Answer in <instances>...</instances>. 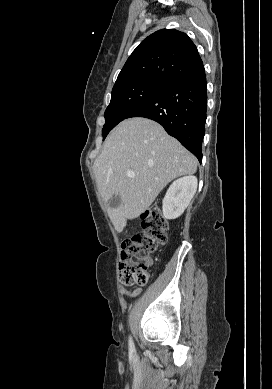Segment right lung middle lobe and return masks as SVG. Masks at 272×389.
I'll list each match as a JSON object with an SVG mask.
<instances>
[{"instance_id": "obj_1", "label": "right lung middle lobe", "mask_w": 272, "mask_h": 389, "mask_svg": "<svg viewBox=\"0 0 272 389\" xmlns=\"http://www.w3.org/2000/svg\"><path fill=\"white\" fill-rule=\"evenodd\" d=\"M165 85V83L158 81L142 80L114 87L110 104L105 111V124L102 129L103 140L119 122L126 119L134 108Z\"/></svg>"}]
</instances>
